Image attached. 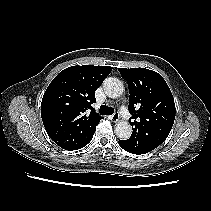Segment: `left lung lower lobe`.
<instances>
[{
  "label": "left lung lower lobe",
  "instance_id": "0a47b994",
  "mask_svg": "<svg viewBox=\"0 0 211 211\" xmlns=\"http://www.w3.org/2000/svg\"><path fill=\"white\" fill-rule=\"evenodd\" d=\"M119 145L124 150H126L127 152H130L132 154H145V153H148L153 150V149H150L145 146H134V145L130 144L129 142L123 141V140H119Z\"/></svg>",
  "mask_w": 211,
  "mask_h": 211
}]
</instances>
